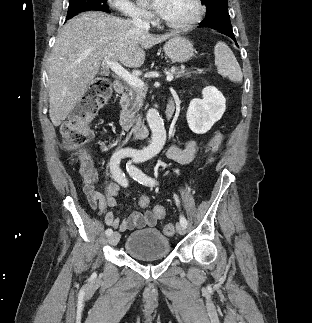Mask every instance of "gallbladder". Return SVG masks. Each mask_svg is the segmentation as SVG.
Wrapping results in <instances>:
<instances>
[{"label":"gallbladder","instance_id":"gallbladder-1","mask_svg":"<svg viewBox=\"0 0 312 323\" xmlns=\"http://www.w3.org/2000/svg\"><path fill=\"white\" fill-rule=\"evenodd\" d=\"M100 74L101 76H109L108 70H101Z\"/></svg>","mask_w":312,"mask_h":323}]
</instances>
